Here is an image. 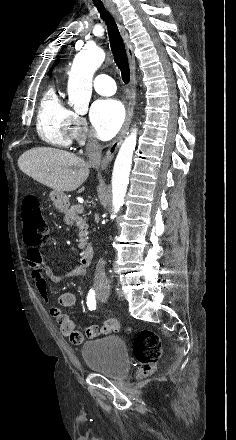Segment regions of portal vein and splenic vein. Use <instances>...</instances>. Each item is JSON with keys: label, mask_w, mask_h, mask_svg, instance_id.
<instances>
[{"label": "portal vein and splenic vein", "mask_w": 236, "mask_h": 440, "mask_svg": "<svg viewBox=\"0 0 236 440\" xmlns=\"http://www.w3.org/2000/svg\"><path fill=\"white\" fill-rule=\"evenodd\" d=\"M83 209H84V208H83L82 205H78V206H77V211H78V212L82 213V212H83Z\"/></svg>", "instance_id": "18ae733b"}]
</instances>
